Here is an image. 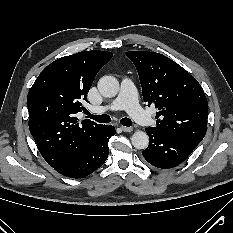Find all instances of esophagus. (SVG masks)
Here are the masks:
<instances>
[{"label": "esophagus", "mask_w": 233, "mask_h": 233, "mask_svg": "<svg viewBox=\"0 0 233 233\" xmlns=\"http://www.w3.org/2000/svg\"><path fill=\"white\" fill-rule=\"evenodd\" d=\"M121 129L123 132H132L133 131L132 127L121 126Z\"/></svg>", "instance_id": "1"}]
</instances>
